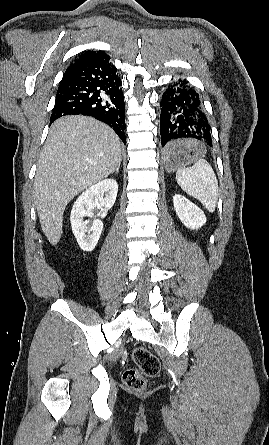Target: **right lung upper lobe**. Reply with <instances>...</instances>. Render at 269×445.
<instances>
[{"label": "right lung upper lobe", "mask_w": 269, "mask_h": 445, "mask_svg": "<svg viewBox=\"0 0 269 445\" xmlns=\"http://www.w3.org/2000/svg\"><path fill=\"white\" fill-rule=\"evenodd\" d=\"M105 52L99 50V51H86L84 52L82 55L79 56L78 59H76L65 71V73H67L68 71H70L72 68L81 65L85 62H88L98 56L104 55ZM64 73V74H65Z\"/></svg>", "instance_id": "1"}]
</instances>
